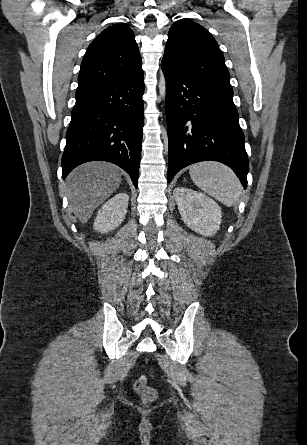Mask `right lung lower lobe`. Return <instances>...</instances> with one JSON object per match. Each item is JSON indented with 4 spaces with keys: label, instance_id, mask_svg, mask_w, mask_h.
Returning a JSON list of instances; mask_svg holds the SVG:
<instances>
[{
    "label": "right lung lower lobe",
    "instance_id": "obj_1",
    "mask_svg": "<svg viewBox=\"0 0 307 445\" xmlns=\"http://www.w3.org/2000/svg\"><path fill=\"white\" fill-rule=\"evenodd\" d=\"M143 70L124 79L76 91L66 134L62 177L93 160L112 162L137 187L144 125Z\"/></svg>",
    "mask_w": 307,
    "mask_h": 445
}]
</instances>
